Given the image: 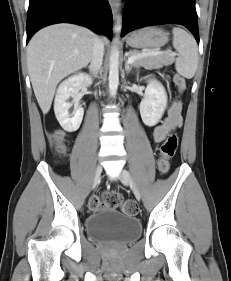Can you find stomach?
I'll list each match as a JSON object with an SVG mask.
<instances>
[{"instance_id": "stomach-1", "label": "stomach", "mask_w": 231, "mask_h": 281, "mask_svg": "<svg viewBox=\"0 0 231 281\" xmlns=\"http://www.w3.org/2000/svg\"><path fill=\"white\" fill-rule=\"evenodd\" d=\"M125 39L133 48H157L168 42V34L158 27H146L130 33Z\"/></svg>"}]
</instances>
